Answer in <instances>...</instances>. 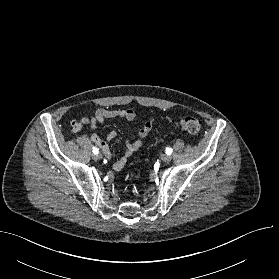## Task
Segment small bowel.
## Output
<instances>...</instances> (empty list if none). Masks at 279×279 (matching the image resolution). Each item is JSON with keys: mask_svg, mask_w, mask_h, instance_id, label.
Here are the masks:
<instances>
[{"mask_svg": "<svg viewBox=\"0 0 279 279\" xmlns=\"http://www.w3.org/2000/svg\"><path fill=\"white\" fill-rule=\"evenodd\" d=\"M135 117L136 114L132 109L99 108L94 112V114L91 117H84L80 122L74 123L73 131L79 132L82 129L83 125H89L90 128L94 130L97 126V123L104 122L109 119L123 118L128 121H132L135 119ZM154 118L155 115H152L143 122L142 126L138 130L137 138L126 141L124 155L113 164V169L115 171L122 170L127 162V158L132 156L137 150H139L142 147L145 139L148 137L149 133L152 130ZM115 137L116 131L114 130L108 132L106 140L102 139L95 132L91 133L90 135V139L92 140V142L95 145H97L102 150L104 155L108 158L113 157V153L109 147V142L114 140Z\"/></svg>", "mask_w": 279, "mask_h": 279, "instance_id": "1", "label": "small bowel"}]
</instances>
